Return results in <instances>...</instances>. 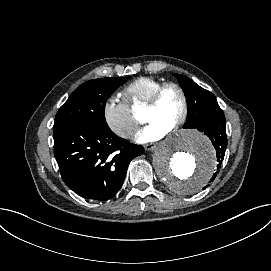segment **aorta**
<instances>
[{"mask_svg":"<svg viewBox=\"0 0 271 271\" xmlns=\"http://www.w3.org/2000/svg\"><path fill=\"white\" fill-rule=\"evenodd\" d=\"M216 163L209 140L198 131H178L153 152L155 171L178 195L199 192L215 171Z\"/></svg>","mask_w":271,"mask_h":271,"instance_id":"1","label":"aorta"}]
</instances>
